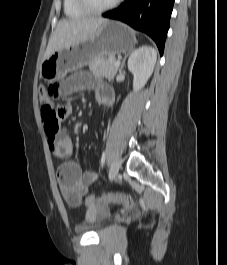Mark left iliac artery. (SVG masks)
Masks as SVG:
<instances>
[{"label":"left iliac artery","instance_id":"left-iliac-artery-1","mask_svg":"<svg viewBox=\"0 0 227 265\" xmlns=\"http://www.w3.org/2000/svg\"><path fill=\"white\" fill-rule=\"evenodd\" d=\"M105 159H106V154L105 152L102 153V157H101V165L103 167L104 163H105Z\"/></svg>","mask_w":227,"mask_h":265}]
</instances>
